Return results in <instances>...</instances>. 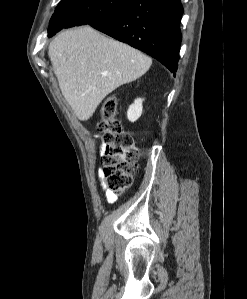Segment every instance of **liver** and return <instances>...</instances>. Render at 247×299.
I'll use <instances>...</instances> for the list:
<instances>
[{"instance_id":"6515ba94","label":"liver","mask_w":247,"mask_h":299,"mask_svg":"<svg viewBox=\"0 0 247 299\" xmlns=\"http://www.w3.org/2000/svg\"><path fill=\"white\" fill-rule=\"evenodd\" d=\"M48 55L62 95L80 120H88L108 94L152 64L147 55L90 26L60 32Z\"/></svg>"}]
</instances>
